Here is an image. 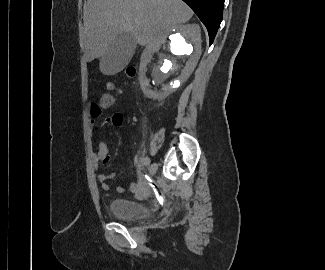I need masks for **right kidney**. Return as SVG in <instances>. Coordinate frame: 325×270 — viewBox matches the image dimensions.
Wrapping results in <instances>:
<instances>
[{
    "label": "right kidney",
    "mask_w": 325,
    "mask_h": 270,
    "mask_svg": "<svg viewBox=\"0 0 325 270\" xmlns=\"http://www.w3.org/2000/svg\"><path fill=\"white\" fill-rule=\"evenodd\" d=\"M154 54L157 60L152 63ZM200 55L198 25H176L166 29L155 47L142 54L139 81L144 95L151 99H163L173 93L190 77ZM159 86L160 90L157 89Z\"/></svg>",
    "instance_id": "obj_1"
}]
</instances>
